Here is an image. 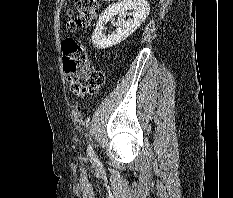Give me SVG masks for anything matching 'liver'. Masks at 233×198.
I'll use <instances>...</instances> for the list:
<instances>
[{
	"label": "liver",
	"mask_w": 233,
	"mask_h": 198,
	"mask_svg": "<svg viewBox=\"0 0 233 198\" xmlns=\"http://www.w3.org/2000/svg\"><path fill=\"white\" fill-rule=\"evenodd\" d=\"M102 1H106V2L108 1V2H110V1H116V0H102Z\"/></svg>",
	"instance_id": "6515ba94"
}]
</instances>
